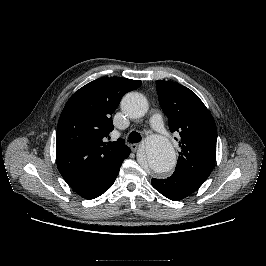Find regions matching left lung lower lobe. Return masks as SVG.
I'll return each instance as SVG.
<instances>
[{
	"label": "left lung lower lobe",
	"instance_id": "obj_1",
	"mask_svg": "<svg viewBox=\"0 0 266 266\" xmlns=\"http://www.w3.org/2000/svg\"><path fill=\"white\" fill-rule=\"evenodd\" d=\"M152 186L170 200H182L195 192L203 183L193 181L184 175L173 173L166 179L151 180Z\"/></svg>",
	"mask_w": 266,
	"mask_h": 266
}]
</instances>
